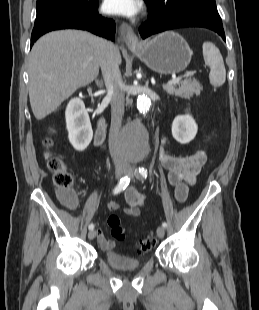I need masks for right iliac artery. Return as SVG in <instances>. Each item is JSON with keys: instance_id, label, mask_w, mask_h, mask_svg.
Masks as SVG:
<instances>
[{"instance_id": "1", "label": "right iliac artery", "mask_w": 259, "mask_h": 310, "mask_svg": "<svg viewBox=\"0 0 259 310\" xmlns=\"http://www.w3.org/2000/svg\"><path fill=\"white\" fill-rule=\"evenodd\" d=\"M129 182H130V179L128 178V176L122 177L120 181L118 182L117 186L115 187L113 193L118 194L119 192L124 190L128 186ZM93 229H94V225L91 223L89 225V230H93Z\"/></svg>"}]
</instances>
